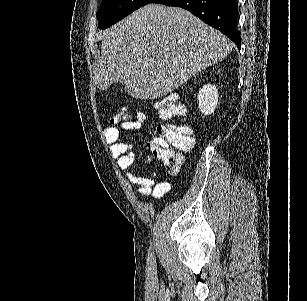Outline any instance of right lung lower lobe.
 <instances>
[{"mask_svg":"<svg viewBox=\"0 0 307 301\" xmlns=\"http://www.w3.org/2000/svg\"><path fill=\"white\" fill-rule=\"evenodd\" d=\"M237 0H153L167 6L184 8L208 25L230 38L240 50L241 38L237 29Z\"/></svg>","mask_w":307,"mask_h":301,"instance_id":"right-lung-lower-lobe-1","label":"right lung lower lobe"}]
</instances>
